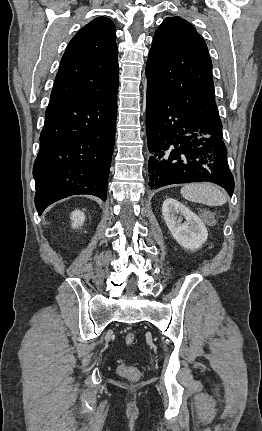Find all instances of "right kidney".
<instances>
[{"label": "right kidney", "instance_id": "right-kidney-1", "mask_svg": "<svg viewBox=\"0 0 262 431\" xmlns=\"http://www.w3.org/2000/svg\"><path fill=\"white\" fill-rule=\"evenodd\" d=\"M70 218L72 220V227L79 228L84 223L85 215L80 210H75L71 213Z\"/></svg>", "mask_w": 262, "mask_h": 431}]
</instances>
